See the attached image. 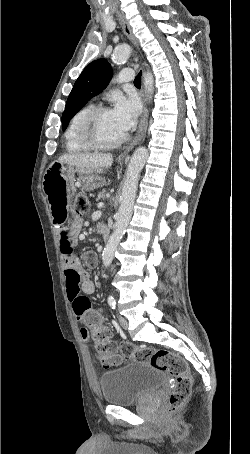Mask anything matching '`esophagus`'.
<instances>
[{
  "mask_svg": "<svg viewBox=\"0 0 250 454\" xmlns=\"http://www.w3.org/2000/svg\"><path fill=\"white\" fill-rule=\"evenodd\" d=\"M119 21H120V24L122 25V28H123V31L124 33L127 35V37L130 39V41L136 46L138 47L139 43H138V40L137 38L135 37L133 31H132V28L129 24V22L121 15H119ZM147 114H148V110L146 107H144V110H143V115H142V118H141V121H140V124H139V128H138V131L136 133V136L135 138L133 139L132 143L126 148V150L124 151V153H122L120 155V158H123L125 157V155L127 154V152H129L136 144H138L141 139L145 136V132H146V129H147Z\"/></svg>",
  "mask_w": 250,
  "mask_h": 454,
  "instance_id": "34e87169",
  "label": "esophagus"
}]
</instances>
